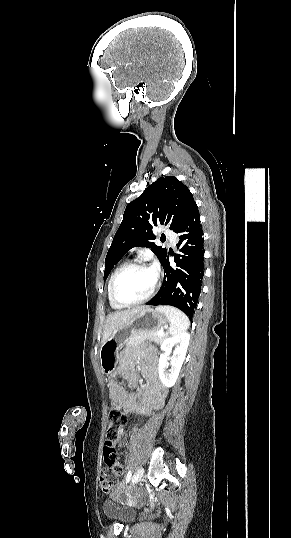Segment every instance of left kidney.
<instances>
[{"label": "left kidney", "mask_w": 291, "mask_h": 538, "mask_svg": "<svg viewBox=\"0 0 291 538\" xmlns=\"http://www.w3.org/2000/svg\"><path fill=\"white\" fill-rule=\"evenodd\" d=\"M189 340L190 334L188 332H182L170 338H166L161 344L163 353L159 358L158 372L161 382L166 387H172L178 378L181 366L185 360ZM173 346H175V349L170 358L171 369L168 370L169 363L167 362V359L172 352Z\"/></svg>", "instance_id": "obj_1"}]
</instances>
